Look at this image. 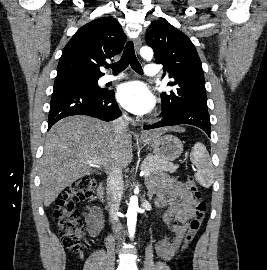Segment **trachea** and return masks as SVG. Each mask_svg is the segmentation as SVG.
Here are the masks:
<instances>
[{"label":"trachea","mask_w":267,"mask_h":270,"mask_svg":"<svg viewBox=\"0 0 267 270\" xmlns=\"http://www.w3.org/2000/svg\"><path fill=\"white\" fill-rule=\"evenodd\" d=\"M128 65H131L132 69L137 73H143L142 67L135 56L134 45L132 41L127 42L121 59L116 63L106 65V68H112L113 73L116 74L125 70Z\"/></svg>","instance_id":"3493384b"}]
</instances>
